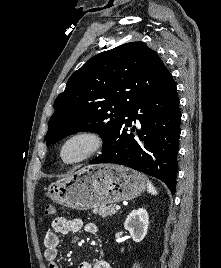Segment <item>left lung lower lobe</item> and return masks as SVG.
Listing matches in <instances>:
<instances>
[{
    "label": "left lung lower lobe",
    "instance_id": "1",
    "mask_svg": "<svg viewBox=\"0 0 221 268\" xmlns=\"http://www.w3.org/2000/svg\"><path fill=\"white\" fill-rule=\"evenodd\" d=\"M136 119L141 129L134 134L132 122ZM180 120L179 98L172 79L125 114L116 133L103 144L102 154L89 163L125 165L162 180L174 194Z\"/></svg>",
    "mask_w": 221,
    "mask_h": 268
}]
</instances>
